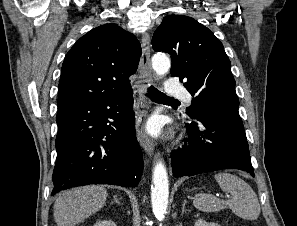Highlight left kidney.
Instances as JSON below:
<instances>
[{"label": "left kidney", "mask_w": 297, "mask_h": 226, "mask_svg": "<svg viewBox=\"0 0 297 226\" xmlns=\"http://www.w3.org/2000/svg\"><path fill=\"white\" fill-rule=\"evenodd\" d=\"M194 226H220V225L215 222H207L203 219H198V220H196Z\"/></svg>", "instance_id": "5707ae66"}]
</instances>
